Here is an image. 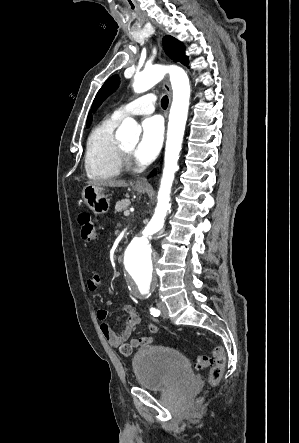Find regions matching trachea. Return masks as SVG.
Wrapping results in <instances>:
<instances>
[{"instance_id":"trachea-1","label":"trachea","mask_w":299,"mask_h":443,"mask_svg":"<svg viewBox=\"0 0 299 443\" xmlns=\"http://www.w3.org/2000/svg\"><path fill=\"white\" fill-rule=\"evenodd\" d=\"M161 106H162L163 109H166V108H167V106H168V97H167V96H164V97L162 98V100H161Z\"/></svg>"}]
</instances>
